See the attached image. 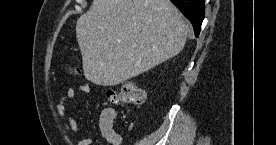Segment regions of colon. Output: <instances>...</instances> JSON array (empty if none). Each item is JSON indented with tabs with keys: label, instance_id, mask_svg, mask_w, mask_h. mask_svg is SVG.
Masks as SVG:
<instances>
[{
	"label": "colon",
	"instance_id": "colon-1",
	"mask_svg": "<svg viewBox=\"0 0 276 145\" xmlns=\"http://www.w3.org/2000/svg\"><path fill=\"white\" fill-rule=\"evenodd\" d=\"M108 98L123 106H141L145 102V92L132 81H125L118 90H109Z\"/></svg>",
	"mask_w": 276,
	"mask_h": 145
}]
</instances>
